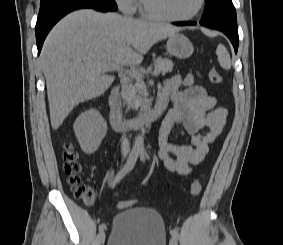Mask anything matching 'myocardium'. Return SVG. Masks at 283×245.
Masks as SVG:
<instances>
[{"label": "myocardium", "mask_w": 283, "mask_h": 245, "mask_svg": "<svg viewBox=\"0 0 283 245\" xmlns=\"http://www.w3.org/2000/svg\"><path fill=\"white\" fill-rule=\"evenodd\" d=\"M205 2L206 0H199L196 9L192 13L186 16H181V17H170V16H165V15L156 13L148 8L145 0H140V5H141L142 14L146 18L151 19V20H156V21L176 23V22L189 21L193 19L194 17H196L204 8Z\"/></svg>", "instance_id": "myocardium-1"}]
</instances>
